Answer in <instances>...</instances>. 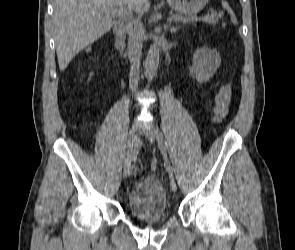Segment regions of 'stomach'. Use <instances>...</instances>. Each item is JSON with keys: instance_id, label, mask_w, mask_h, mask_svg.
Masks as SVG:
<instances>
[{"instance_id": "0dacf381", "label": "stomach", "mask_w": 295, "mask_h": 250, "mask_svg": "<svg viewBox=\"0 0 295 250\" xmlns=\"http://www.w3.org/2000/svg\"><path fill=\"white\" fill-rule=\"evenodd\" d=\"M208 0H167L168 4L175 11L185 14L194 15L201 11Z\"/></svg>"}]
</instances>
